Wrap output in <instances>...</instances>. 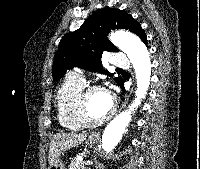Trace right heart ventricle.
I'll use <instances>...</instances> for the list:
<instances>
[{
    "label": "right heart ventricle",
    "instance_id": "1",
    "mask_svg": "<svg viewBox=\"0 0 200 169\" xmlns=\"http://www.w3.org/2000/svg\"><path fill=\"white\" fill-rule=\"evenodd\" d=\"M84 84L71 77H67L60 85L56 94V109L59 124L66 130L78 131L82 125L77 119L75 102Z\"/></svg>",
    "mask_w": 200,
    "mask_h": 169
}]
</instances>
